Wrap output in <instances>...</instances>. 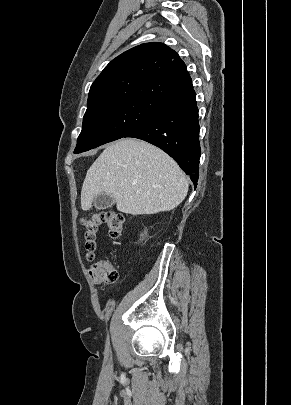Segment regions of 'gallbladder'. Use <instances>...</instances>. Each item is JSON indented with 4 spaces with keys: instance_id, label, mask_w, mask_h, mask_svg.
<instances>
[{
    "instance_id": "obj_1",
    "label": "gallbladder",
    "mask_w": 291,
    "mask_h": 405,
    "mask_svg": "<svg viewBox=\"0 0 291 405\" xmlns=\"http://www.w3.org/2000/svg\"><path fill=\"white\" fill-rule=\"evenodd\" d=\"M93 202L95 208L98 210L110 208L115 204L114 198L105 193L97 195Z\"/></svg>"
}]
</instances>
